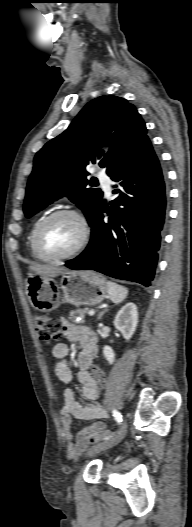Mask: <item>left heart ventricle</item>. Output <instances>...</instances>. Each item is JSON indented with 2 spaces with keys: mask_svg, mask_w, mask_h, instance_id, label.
<instances>
[{
  "mask_svg": "<svg viewBox=\"0 0 192 527\" xmlns=\"http://www.w3.org/2000/svg\"><path fill=\"white\" fill-rule=\"evenodd\" d=\"M81 226L76 218L62 215L52 219L41 233L43 251L52 256L70 252L79 242Z\"/></svg>",
  "mask_w": 192,
  "mask_h": 527,
  "instance_id": "b2bd125f",
  "label": "left heart ventricle"
}]
</instances>
